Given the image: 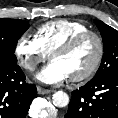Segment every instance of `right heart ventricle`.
<instances>
[{"label":"right heart ventricle","instance_id":"obj_1","mask_svg":"<svg viewBox=\"0 0 118 118\" xmlns=\"http://www.w3.org/2000/svg\"><path fill=\"white\" fill-rule=\"evenodd\" d=\"M86 30L88 27L81 21L58 19L39 26L35 38L49 55L66 40Z\"/></svg>","mask_w":118,"mask_h":118}]
</instances>
